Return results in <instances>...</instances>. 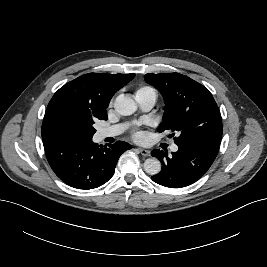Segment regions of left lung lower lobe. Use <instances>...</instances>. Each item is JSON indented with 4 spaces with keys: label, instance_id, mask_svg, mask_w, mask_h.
<instances>
[{
    "label": "left lung lower lobe",
    "instance_id": "1",
    "mask_svg": "<svg viewBox=\"0 0 267 267\" xmlns=\"http://www.w3.org/2000/svg\"><path fill=\"white\" fill-rule=\"evenodd\" d=\"M220 143L203 142L196 145H178L172 157L164 151L153 150L152 156L162 163L161 171L152 176L157 184L170 188H181L199 180L214 162Z\"/></svg>",
    "mask_w": 267,
    "mask_h": 267
}]
</instances>
